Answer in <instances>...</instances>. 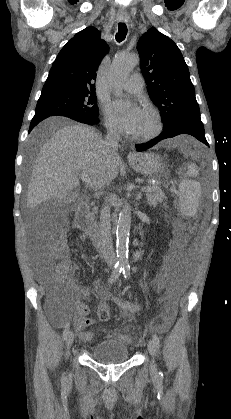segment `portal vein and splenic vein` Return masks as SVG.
Here are the masks:
<instances>
[{"instance_id": "18ae733b", "label": "portal vein and splenic vein", "mask_w": 231, "mask_h": 419, "mask_svg": "<svg viewBox=\"0 0 231 419\" xmlns=\"http://www.w3.org/2000/svg\"><path fill=\"white\" fill-rule=\"evenodd\" d=\"M78 175H79V177L81 178V180L82 181H84L87 185H89L91 188H93V189H96L97 190V187L96 186H94V184L91 182V179H90V177L89 176H87V175H85V174H83V173H78ZM154 188L153 187H151V186H143L142 187V191L143 192H148V191H151V190H153Z\"/></svg>"}]
</instances>
